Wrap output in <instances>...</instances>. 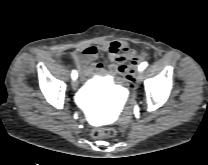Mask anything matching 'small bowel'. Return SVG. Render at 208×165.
I'll return each instance as SVG.
<instances>
[{
  "instance_id": "c3829d8e",
  "label": "small bowel",
  "mask_w": 208,
  "mask_h": 165,
  "mask_svg": "<svg viewBox=\"0 0 208 165\" xmlns=\"http://www.w3.org/2000/svg\"><path fill=\"white\" fill-rule=\"evenodd\" d=\"M99 52L108 53V58L112 63L108 70H105L100 63L95 61ZM134 58L140 59L133 50L128 48L125 42L109 40L102 41L96 46L85 47L74 54V60L83 79L91 78L94 74H108L113 77L112 82L115 84L111 90L118 95L124 92V88L121 86L123 81L116 75L123 74L121 68L127 65L126 62H132Z\"/></svg>"
}]
</instances>
